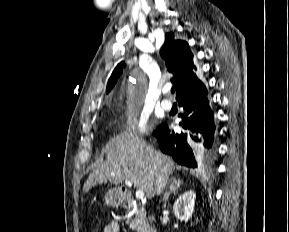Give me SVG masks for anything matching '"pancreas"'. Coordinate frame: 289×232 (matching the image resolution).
I'll return each instance as SVG.
<instances>
[{
  "label": "pancreas",
  "instance_id": "obj_1",
  "mask_svg": "<svg viewBox=\"0 0 289 232\" xmlns=\"http://www.w3.org/2000/svg\"><path fill=\"white\" fill-rule=\"evenodd\" d=\"M128 220H130V228L136 230L137 232H147L149 228V223L147 220L146 212L143 209H135L128 211Z\"/></svg>",
  "mask_w": 289,
  "mask_h": 232
}]
</instances>
